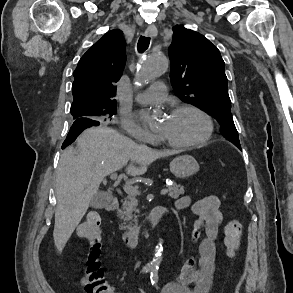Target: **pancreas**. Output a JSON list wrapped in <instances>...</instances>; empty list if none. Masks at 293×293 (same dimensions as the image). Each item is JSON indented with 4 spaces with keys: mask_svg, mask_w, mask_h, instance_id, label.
<instances>
[{
    "mask_svg": "<svg viewBox=\"0 0 293 293\" xmlns=\"http://www.w3.org/2000/svg\"><path fill=\"white\" fill-rule=\"evenodd\" d=\"M168 196L177 199L180 195L185 193L184 187L181 185L173 184L172 186L168 187ZM138 200L136 199L135 195H128L127 198L124 200L122 205V218L124 221H134L136 222V215L135 213L138 212L137 209ZM130 230H138L137 225H128Z\"/></svg>",
    "mask_w": 293,
    "mask_h": 293,
    "instance_id": "obj_1",
    "label": "pancreas"
}]
</instances>
